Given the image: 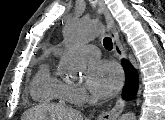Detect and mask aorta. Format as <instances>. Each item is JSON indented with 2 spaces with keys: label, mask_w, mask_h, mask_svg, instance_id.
<instances>
[{
  "label": "aorta",
  "mask_w": 165,
  "mask_h": 120,
  "mask_svg": "<svg viewBox=\"0 0 165 120\" xmlns=\"http://www.w3.org/2000/svg\"><path fill=\"white\" fill-rule=\"evenodd\" d=\"M100 32L101 25L98 23H87L79 18H73L66 22L67 57L62 60V67L66 73L72 74L84 70V62L74 55V51L80 44L96 37ZM121 120H136V116L129 112L123 115Z\"/></svg>",
  "instance_id": "762f6f07"
}]
</instances>
